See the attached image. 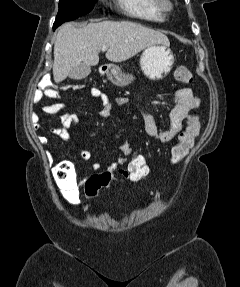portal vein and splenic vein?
<instances>
[{
  "mask_svg": "<svg viewBox=\"0 0 240 287\" xmlns=\"http://www.w3.org/2000/svg\"><path fill=\"white\" fill-rule=\"evenodd\" d=\"M107 49H108V47H106V46L102 47V51H106Z\"/></svg>",
  "mask_w": 240,
  "mask_h": 287,
  "instance_id": "obj_1",
  "label": "portal vein and splenic vein"
}]
</instances>
